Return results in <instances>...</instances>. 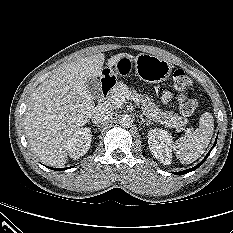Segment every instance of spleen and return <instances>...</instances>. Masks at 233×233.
<instances>
[{
  "mask_svg": "<svg viewBox=\"0 0 233 233\" xmlns=\"http://www.w3.org/2000/svg\"><path fill=\"white\" fill-rule=\"evenodd\" d=\"M214 129V119L211 113L201 115L198 128L181 137L173 145L176 157L180 162L190 164L205 152L211 140Z\"/></svg>",
  "mask_w": 233,
  "mask_h": 233,
  "instance_id": "3e777b00",
  "label": "spleen"
}]
</instances>
